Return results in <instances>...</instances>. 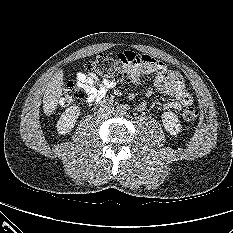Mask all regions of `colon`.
<instances>
[{
    "mask_svg": "<svg viewBox=\"0 0 233 233\" xmlns=\"http://www.w3.org/2000/svg\"><path fill=\"white\" fill-rule=\"evenodd\" d=\"M135 61L123 59L120 56L111 57L105 54L97 55L92 61L85 66L86 70L96 73L112 81H129L134 82L139 77L134 73ZM84 90L74 82H68L63 89L61 103L69 105L76 100L83 98ZM198 116L197 110L189 105L182 112L184 121L191 123Z\"/></svg>",
    "mask_w": 233,
    "mask_h": 233,
    "instance_id": "5ec220e1",
    "label": "colon"
}]
</instances>
